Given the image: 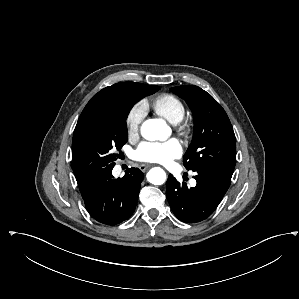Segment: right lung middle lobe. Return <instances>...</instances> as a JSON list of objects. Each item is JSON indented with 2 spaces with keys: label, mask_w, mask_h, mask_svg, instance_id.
I'll use <instances>...</instances> for the list:
<instances>
[{
  "label": "right lung middle lobe",
  "mask_w": 299,
  "mask_h": 299,
  "mask_svg": "<svg viewBox=\"0 0 299 299\" xmlns=\"http://www.w3.org/2000/svg\"><path fill=\"white\" fill-rule=\"evenodd\" d=\"M159 86L147 85L137 99L115 102L74 133L72 142L73 171L78 185L114 167L115 152L127 142L126 118L134 103L155 93Z\"/></svg>",
  "instance_id": "obj_1"
}]
</instances>
